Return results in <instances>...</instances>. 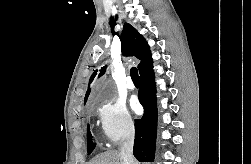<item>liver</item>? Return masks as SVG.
<instances>
[{"label":"liver","mask_w":251,"mask_h":164,"mask_svg":"<svg viewBox=\"0 0 251 164\" xmlns=\"http://www.w3.org/2000/svg\"><path fill=\"white\" fill-rule=\"evenodd\" d=\"M87 164H123V163L119 151L109 150L97 155L91 162Z\"/></svg>","instance_id":"1"}]
</instances>
